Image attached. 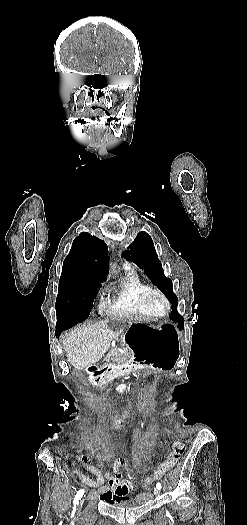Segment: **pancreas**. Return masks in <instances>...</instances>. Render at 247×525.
Returning a JSON list of instances; mask_svg holds the SVG:
<instances>
[{
    "instance_id": "pancreas-1",
    "label": "pancreas",
    "mask_w": 247,
    "mask_h": 525,
    "mask_svg": "<svg viewBox=\"0 0 247 525\" xmlns=\"http://www.w3.org/2000/svg\"><path fill=\"white\" fill-rule=\"evenodd\" d=\"M131 353H132V350L117 349V352H109V355H104V358H106V361H114L116 359L115 355H117V359L119 361H129V360H132Z\"/></svg>"
}]
</instances>
